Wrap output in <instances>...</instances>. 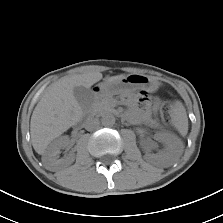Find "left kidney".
Returning a JSON list of instances; mask_svg holds the SVG:
<instances>
[{
	"instance_id": "1",
	"label": "left kidney",
	"mask_w": 223,
	"mask_h": 223,
	"mask_svg": "<svg viewBox=\"0 0 223 223\" xmlns=\"http://www.w3.org/2000/svg\"><path fill=\"white\" fill-rule=\"evenodd\" d=\"M155 139L164 144V149L157 154L147 152L145 159L162 166L175 164L183 152V145L180 140L168 133H157Z\"/></svg>"
}]
</instances>
